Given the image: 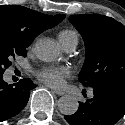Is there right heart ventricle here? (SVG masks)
I'll return each mask as SVG.
<instances>
[{
  "label": "right heart ventricle",
  "mask_w": 125,
  "mask_h": 125,
  "mask_svg": "<svg viewBox=\"0 0 125 125\" xmlns=\"http://www.w3.org/2000/svg\"><path fill=\"white\" fill-rule=\"evenodd\" d=\"M75 38H78V35L75 31L72 30H63L58 34V39L62 46L68 41Z\"/></svg>",
  "instance_id": "1"
}]
</instances>
